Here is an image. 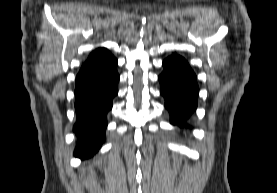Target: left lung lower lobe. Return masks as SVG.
Wrapping results in <instances>:
<instances>
[{"label":"left lung lower lobe","mask_w":277,"mask_h":193,"mask_svg":"<svg viewBox=\"0 0 277 193\" xmlns=\"http://www.w3.org/2000/svg\"><path fill=\"white\" fill-rule=\"evenodd\" d=\"M163 66L159 76L160 92L170 112L171 123L182 127L197 108L199 88L196 75L185 59L176 54L168 57Z\"/></svg>","instance_id":"0a47b994"}]
</instances>
